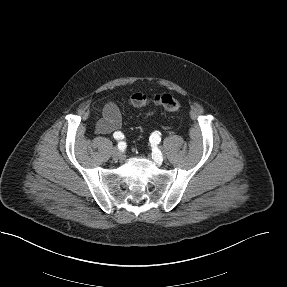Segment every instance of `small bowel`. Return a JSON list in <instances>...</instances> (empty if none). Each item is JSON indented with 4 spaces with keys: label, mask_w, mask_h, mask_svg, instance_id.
<instances>
[{
    "label": "small bowel",
    "mask_w": 287,
    "mask_h": 287,
    "mask_svg": "<svg viewBox=\"0 0 287 287\" xmlns=\"http://www.w3.org/2000/svg\"><path fill=\"white\" fill-rule=\"evenodd\" d=\"M122 118L118 106L114 102L107 103L102 112V117L96 124V131L100 134L118 132Z\"/></svg>",
    "instance_id": "small-bowel-1"
}]
</instances>
